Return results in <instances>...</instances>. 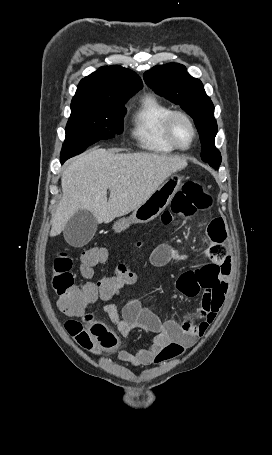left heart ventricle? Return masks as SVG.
Masks as SVG:
<instances>
[{
	"label": "left heart ventricle",
	"mask_w": 272,
	"mask_h": 455,
	"mask_svg": "<svg viewBox=\"0 0 272 455\" xmlns=\"http://www.w3.org/2000/svg\"><path fill=\"white\" fill-rule=\"evenodd\" d=\"M173 135L180 146H187L192 139V130L182 118H176L173 122Z\"/></svg>",
	"instance_id": "1"
}]
</instances>
